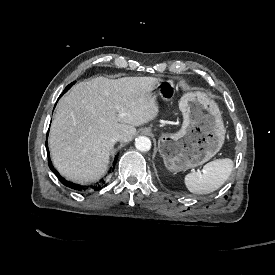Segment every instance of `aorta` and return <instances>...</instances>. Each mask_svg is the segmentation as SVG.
Returning a JSON list of instances; mask_svg holds the SVG:
<instances>
[{
	"instance_id": "1",
	"label": "aorta",
	"mask_w": 275,
	"mask_h": 275,
	"mask_svg": "<svg viewBox=\"0 0 275 275\" xmlns=\"http://www.w3.org/2000/svg\"><path fill=\"white\" fill-rule=\"evenodd\" d=\"M151 146V140L148 137L140 136L135 140V147L140 152H148Z\"/></svg>"
}]
</instances>
